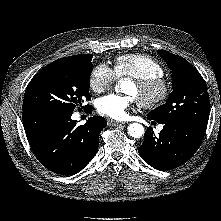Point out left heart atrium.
I'll return each instance as SVG.
<instances>
[{"mask_svg": "<svg viewBox=\"0 0 221 221\" xmlns=\"http://www.w3.org/2000/svg\"><path fill=\"white\" fill-rule=\"evenodd\" d=\"M133 103V97L110 94L100 98L97 110L100 114L121 120L127 116L128 109Z\"/></svg>", "mask_w": 221, "mask_h": 221, "instance_id": "1", "label": "left heart atrium"}]
</instances>
